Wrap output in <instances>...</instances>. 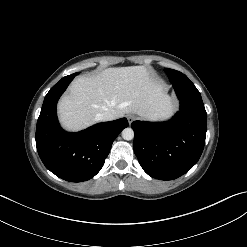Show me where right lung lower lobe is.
Instances as JSON below:
<instances>
[{"instance_id":"98d812e1","label":"right lung lower lobe","mask_w":247,"mask_h":247,"mask_svg":"<svg viewBox=\"0 0 247 247\" xmlns=\"http://www.w3.org/2000/svg\"><path fill=\"white\" fill-rule=\"evenodd\" d=\"M74 77L72 74L62 78L45 96L35 139L38 154L48 170L66 181L82 182L100 171L113 141L128 121L121 118L77 133L65 132L58 123L56 104Z\"/></svg>"}]
</instances>
